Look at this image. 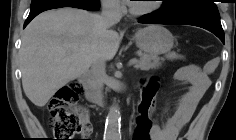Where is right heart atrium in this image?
I'll use <instances>...</instances> for the list:
<instances>
[{"instance_id":"obj_1","label":"right heart atrium","mask_w":236,"mask_h":140,"mask_svg":"<svg viewBox=\"0 0 236 140\" xmlns=\"http://www.w3.org/2000/svg\"><path fill=\"white\" fill-rule=\"evenodd\" d=\"M103 7L110 13L120 14L124 11V8L119 0H103Z\"/></svg>"}]
</instances>
